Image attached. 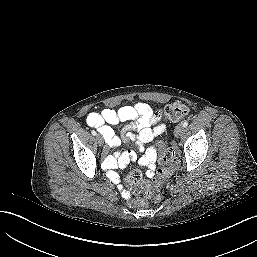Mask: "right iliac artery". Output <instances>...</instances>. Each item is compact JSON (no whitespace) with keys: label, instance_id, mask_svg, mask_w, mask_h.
<instances>
[{"label":"right iliac artery","instance_id":"82829eb1","mask_svg":"<svg viewBox=\"0 0 257 257\" xmlns=\"http://www.w3.org/2000/svg\"><path fill=\"white\" fill-rule=\"evenodd\" d=\"M91 133H92V135H94V136L97 134L94 130H92Z\"/></svg>","mask_w":257,"mask_h":257}]
</instances>
